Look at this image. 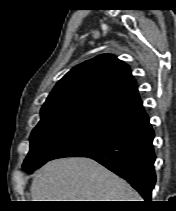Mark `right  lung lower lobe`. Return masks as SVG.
<instances>
[{
  "mask_svg": "<svg viewBox=\"0 0 176 211\" xmlns=\"http://www.w3.org/2000/svg\"><path fill=\"white\" fill-rule=\"evenodd\" d=\"M153 138L154 131L149 117L144 108L140 107L100 121L51 159L92 158L127 180L150 202L156 181Z\"/></svg>",
  "mask_w": 176,
  "mask_h": 211,
  "instance_id": "98d812e1",
  "label": "right lung lower lobe"
}]
</instances>
